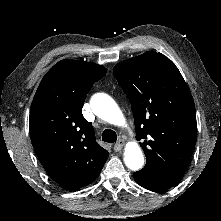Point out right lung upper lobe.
<instances>
[{
  "label": "right lung upper lobe",
  "mask_w": 221,
  "mask_h": 221,
  "mask_svg": "<svg viewBox=\"0 0 221 221\" xmlns=\"http://www.w3.org/2000/svg\"><path fill=\"white\" fill-rule=\"evenodd\" d=\"M106 68L79 60H61L43 77L34 96L29 130L34 150L54 181L67 189L92 183L109 153L96 143L82 115L85 97Z\"/></svg>",
  "instance_id": "right-lung-upper-lobe-1"
}]
</instances>
